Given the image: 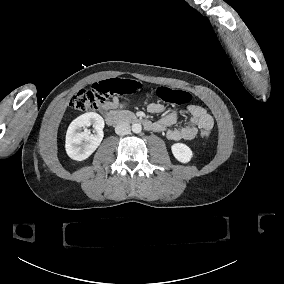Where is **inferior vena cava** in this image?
<instances>
[{
  "label": "inferior vena cava",
  "instance_id": "inferior-vena-cava-1",
  "mask_svg": "<svg viewBox=\"0 0 284 284\" xmlns=\"http://www.w3.org/2000/svg\"><path fill=\"white\" fill-rule=\"evenodd\" d=\"M130 131H131V127H130V124L127 122H121L117 124L115 127V132L118 135H127L130 133Z\"/></svg>",
  "mask_w": 284,
  "mask_h": 284
}]
</instances>
